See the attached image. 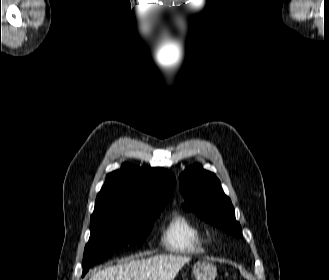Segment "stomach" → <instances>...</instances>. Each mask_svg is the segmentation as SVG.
I'll list each match as a JSON object with an SVG mask.
<instances>
[{"label":"stomach","mask_w":329,"mask_h":280,"mask_svg":"<svg viewBox=\"0 0 329 280\" xmlns=\"http://www.w3.org/2000/svg\"><path fill=\"white\" fill-rule=\"evenodd\" d=\"M193 273L196 280H215L217 268L206 261H198L193 265Z\"/></svg>","instance_id":"stomach-1"}]
</instances>
